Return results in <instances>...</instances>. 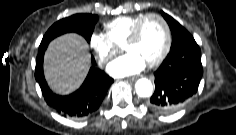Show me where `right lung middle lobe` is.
<instances>
[{"instance_id":"dd1d6c3e","label":"right lung middle lobe","mask_w":236,"mask_h":135,"mask_svg":"<svg viewBox=\"0 0 236 135\" xmlns=\"http://www.w3.org/2000/svg\"><path fill=\"white\" fill-rule=\"evenodd\" d=\"M97 20L98 16L92 14H75L61 19L49 28L39 48L47 47L52 39L67 32H76L90 42Z\"/></svg>"}]
</instances>
